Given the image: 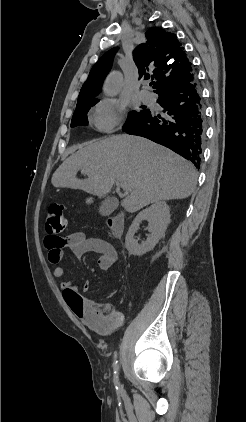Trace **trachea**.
Instances as JSON below:
<instances>
[{"mask_svg":"<svg viewBox=\"0 0 246 422\" xmlns=\"http://www.w3.org/2000/svg\"><path fill=\"white\" fill-rule=\"evenodd\" d=\"M153 84H154L153 82H151V83H150V85H151V86H152Z\"/></svg>","mask_w":246,"mask_h":422,"instance_id":"trachea-1","label":"trachea"}]
</instances>
